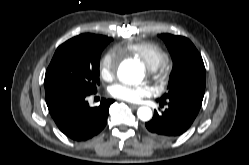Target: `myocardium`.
I'll return each instance as SVG.
<instances>
[{"instance_id": "myocardium-1", "label": "myocardium", "mask_w": 249, "mask_h": 165, "mask_svg": "<svg viewBox=\"0 0 249 165\" xmlns=\"http://www.w3.org/2000/svg\"><path fill=\"white\" fill-rule=\"evenodd\" d=\"M150 74L153 78V81L158 87H162L166 84L168 77V68L166 65H161L155 70H150Z\"/></svg>"}]
</instances>
